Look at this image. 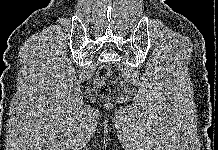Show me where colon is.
<instances>
[{"label":"colon","instance_id":"1","mask_svg":"<svg viewBox=\"0 0 218 150\" xmlns=\"http://www.w3.org/2000/svg\"><path fill=\"white\" fill-rule=\"evenodd\" d=\"M110 74L111 70L106 65L101 66L97 71L95 87L97 94H99L100 96H107L109 93V87L107 86L106 81Z\"/></svg>","mask_w":218,"mask_h":150}]
</instances>
